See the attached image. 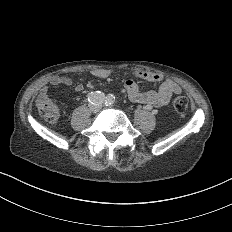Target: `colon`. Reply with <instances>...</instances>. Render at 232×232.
<instances>
[{
  "label": "colon",
  "mask_w": 232,
  "mask_h": 232,
  "mask_svg": "<svg viewBox=\"0 0 232 232\" xmlns=\"http://www.w3.org/2000/svg\"><path fill=\"white\" fill-rule=\"evenodd\" d=\"M39 103L38 108L40 113H48V121L50 125H55V120L59 119V108H53L50 105V96H37ZM172 107H174V114H188L193 109V104L185 94H178L173 98Z\"/></svg>",
  "instance_id": "colon-1"
}]
</instances>
